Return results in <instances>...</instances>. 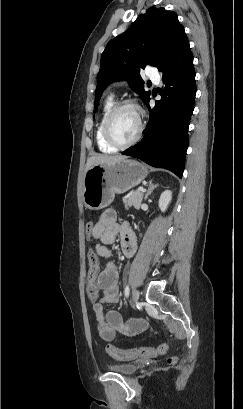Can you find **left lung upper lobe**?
<instances>
[{
    "instance_id": "5c2ea615",
    "label": "left lung upper lobe",
    "mask_w": 243,
    "mask_h": 409,
    "mask_svg": "<svg viewBox=\"0 0 243 409\" xmlns=\"http://www.w3.org/2000/svg\"><path fill=\"white\" fill-rule=\"evenodd\" d=\"M187 42L176 13L151 7L139 15L126 32L107 44L102 53L94 112L104 89L114 81H129L142 100L148 99L150 92L144 90L140 69L152 65L163 71Z\"/></svg>"
}]
</instances>
